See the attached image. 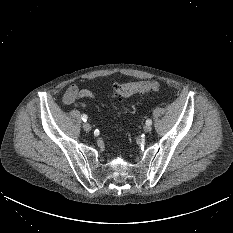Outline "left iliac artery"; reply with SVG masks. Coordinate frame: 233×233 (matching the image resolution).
<instances>
[{
	"label": "left iliac artery",
	"instance_id": "1",
	"mask_svg": "<svg viewBox=\"0 0 233 233\" xmlns=\"http://www.w3.org/2000/svg\"><path fill=\"white\" fill-rule=\"evenodd\" d=\"M146 124L147 125H151L152 124V120L151 119H147Z\"/></svg>",
	"mask_w": 233,
	"mask_h": 233
}]
</instances>
